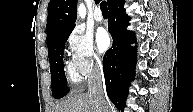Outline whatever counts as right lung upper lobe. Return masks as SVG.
<instances>
[{"label":"right lung upper lobe","mask_w":193,"mask_h":112,"mask_svg":"<svg viewBox=\"0 0 193 112\" xmlns=\"http://www.w3.org/2000/svg\"><path fill=\"white\" fill-rule=\"evenodd\" d=\"M119 0H107L110 8ZM77 0H51L48 4L47 45L62 32L75 27Z\"/></svg>","instance_id":"obj_1"}]
</instances>
